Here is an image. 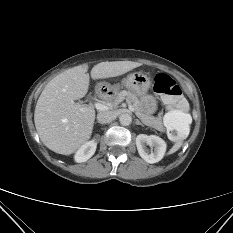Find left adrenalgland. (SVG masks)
Here are the masks:
<instances>
[{
  "label": "left adrenal gland",
  "mask_w": 233,
  "mask_h": 233,
  "mask_svg": "<svg viewBox=\"0 0 233 233\" xmlns=\"http://www.w3.org/2000/svg\"><path fill=\"white\" fill-rule=\"evenodd\" d=\"M137 125H141V126H144L138 119H136V122H135Z\"/></svg>",
  "instance_id": "obj_1"
}]
</instances>
